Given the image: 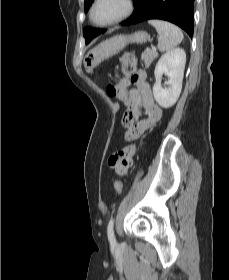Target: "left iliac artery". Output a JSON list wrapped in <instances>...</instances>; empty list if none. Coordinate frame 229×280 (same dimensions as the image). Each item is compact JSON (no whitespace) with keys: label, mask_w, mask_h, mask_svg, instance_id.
I'll return each instance as SVG.
<instances>
[{"label":"left iliac artery","mask_w":229,"mask_h":280,"mask_svg":"<svg viewBox=\"0 0 229 280\" xmlns=\"http://www.w3.org/2000/svg\"><path fill=\"white\" fill-rule=\"evenodd\" d=\"M113 224H114V220L113 218L110 219L109 223H108V228H107V234H108V239L110 244H115V237H114V231H113Z\"/></svg>","instance_id":"1"}]
</instances>
